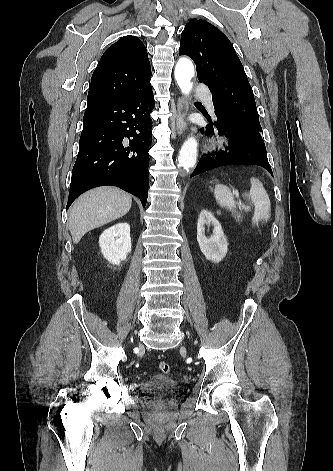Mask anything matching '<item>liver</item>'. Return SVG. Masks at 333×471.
Returning <instances> with one entry per match:
<instances>
[{"mask_svg": "<svg viewBox=\"0 0 333 471\" xmlns=\"http://www.w3.org/2000/svg\"><path fill=\"white\" fill-rule=\"evenodd\" d=\"M130 194L116 187H99L81 195L69 214V230L74 244L90 230L112 222L131 208Z\"/></svg>", "mask_w": 333, "mask_h": 471, "instance_id": "liver-1", "label": "liver"}]
</instances>
